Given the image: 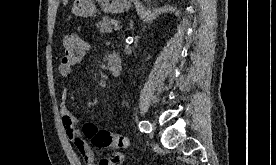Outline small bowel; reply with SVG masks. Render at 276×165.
Segmentation results:
<instances>
[{
    "label": "small bowel",
    "mask_w": 276,
    "mask_h": 165,
    "mask_svg": "<svg viewBox=\"0 0 276 165\" xmlns=\"http://www.w3.org/2000/svg\"><path fill=\"white\" fill-rule=\"evenodd\" d=\"M59 73L62 77L68 78L72 73V66L61 63L59 66ZM67 99V91L64 89L61 92L60 103L62 124L67 137L75 144L78 151L83 156L86 165H119L123 160V155L118 152L101 159L98 163L95 161L94 154L90 146L86 143L78 130L77 117L67 107Z\"/></svg>",
    "instance_id": "1"
}]
</instances>
